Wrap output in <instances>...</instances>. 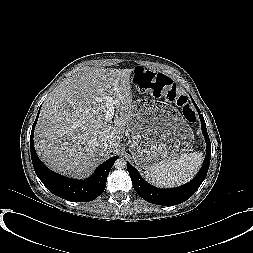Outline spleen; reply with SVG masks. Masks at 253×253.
I'll return each instance as SVG.
<instances>
[{
	"mask_svg": "<svg viewBox=\"0 0 253 253\" xmlns=\"http://www.w3.org/2000/svg\"><path fill=\"white\" fill-rule=\"evenodd\" d=\"M202 152L184 154L177 159L164 161L145 169V176L156 186L172 187L186 183L202 164Z\"/></svg>",
	"mask_w": 253,
	"mask_h": 253,
	"instance_id": "3e777b00",
	"label": "spleen"
}]
</instances>
